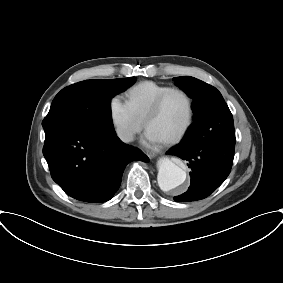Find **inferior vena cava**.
I'll return each instance as SVG.
<instances>
[{"instance_id": "602c4592", "label": "inferior vena cava", "mask_w": 283, "mask_h": 283, "mask_svg": "<svg viewBox=\"0 0 283 283\" xmlns=\"http://www.w3.org/2000/svg\"><path fill=\"white\" fill-rule=\"evenodd\" d=\"M118 136L123 142H130L133 140V133L129 130H119Z\"/></svg>"}]
</instances>
